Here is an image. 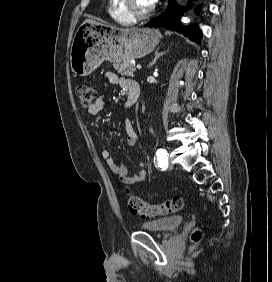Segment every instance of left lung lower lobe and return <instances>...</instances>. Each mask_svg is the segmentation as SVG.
<instances>
[{
  "instance_id": "0a47b994",
  "label": "left lung lower lobe",
  "mask_w": 272,
  "mask_h": 282,
  "mask_svg": "<svg viewBox=\"0 0 272 282\" xmlns=\"http://www.w3.org/2000/svg\"><path fill=\"white\" fill-rule=\"evenodd\" d=\"M182 14L181 8L175 3V0H169L168 7L164 13L154 20L148 22V26L165 27L170 30H175L184 34L195 42H199L201 32L199 28L194 26H183L180 23V16Z\"/></svg>"
}]
</instances>
